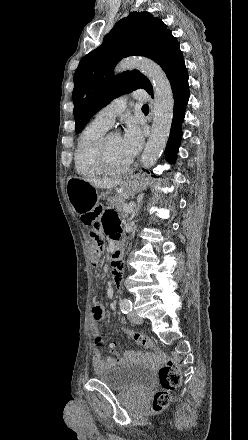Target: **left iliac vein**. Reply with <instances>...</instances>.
Here are the masks:
<instances>
[{
    "label": "left iliac vein",
    "instance_id": "1",
    "mask_svg": "<svg viewBox=\"0 0 248 440\" xmlns=\"http://www.w3.org/2000/svg\"><path fill=\"white\" fill-rule=\"evenodd\" d=\"M128 319L133 324H141L143 322V319L134 311L129 313Z\"/></svg>",
    "mask_w": 248,
    "mask_h": 440
}]
</instances>
